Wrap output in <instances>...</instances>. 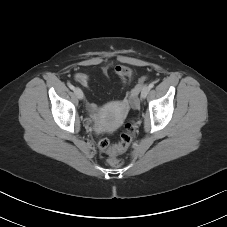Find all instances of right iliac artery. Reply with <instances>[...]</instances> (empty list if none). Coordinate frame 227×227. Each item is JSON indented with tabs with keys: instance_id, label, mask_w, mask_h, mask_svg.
<instances>
[{
	"instance_id": "82829eb1",
	"label": "right iliac artery",
	"mask_w": 227,
	"mask_h": 227,
	"mask_svg": "<svg viewBox=\"0 0 227 227\" xmlns=\"http://www.w3.org/2000/svg\"><path fill=\"white\" fill-rule=\"evenodd\" d=\"M69 88H70L71 90H74V89H75V87H74L72 84H69Z\"/></svg>"
}]
</instances>
